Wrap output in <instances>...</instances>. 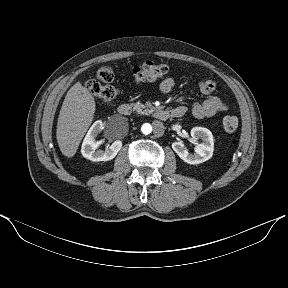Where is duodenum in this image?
<instances>
[{
    "instance_id": "410a0bca",
    "label": "duodenum",
    "mask_w": 288,
    "mask_h": 288,
    "mask_svg": "<svg viewBox=\"0 0 288 288\" xmlns=\"http://www.w3.org/2000/svg\"><path fill=\"white\" fill-rule=\"evenodd\" d=\"M118 112L123 116H128L131 113V107L127 103L119 105ZM183 112L178 109H158L154 112V117L156 119L165 121L169 118H178L181 117Z\"/></svg>"
}]
</instances>
